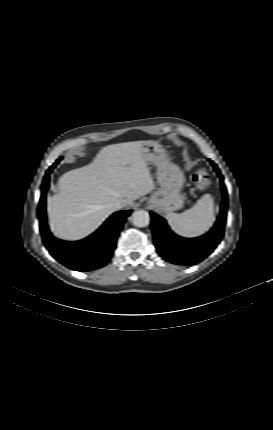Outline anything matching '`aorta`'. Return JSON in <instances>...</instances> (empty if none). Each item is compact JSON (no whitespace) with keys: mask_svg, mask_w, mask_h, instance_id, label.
<instances>
[{"mask_svg":"<svg viewBox=\"0 0 273 430\" xmlns=\"http://www.w3.org/2000/svg\"><path fill=\"white\" fill-rule=\"evenodd\" d=\"M132 223L137 227H145L150 223V215L147 211L138 210L132 214Z\"/></svg>","mask_w":273,"mask_h":430,"instance_id":"obj_1","label":"aorta"}]
</instances>
